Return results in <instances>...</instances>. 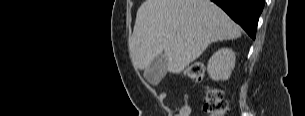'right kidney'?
Returning a JSON list of instances; mask_svg holds the SVG:
<instances>
[{
  "label": "right kidney",
  "instance_id": "ca27d5eb",
  "mask_svg": "<svg viewBox=\"0 0 305 116\" xmlns=\"http://www.w3.org/2000/svg\"><path fill=\"white\" fill-rule=\"evenodd\" d=\"M234 67L235 53L229 48H222L215 52L207 65L208 73L215 81L229 79Z\"/></svg>",
  "mask_w": 305,
  "mask_h": 116
}]
</instances>
